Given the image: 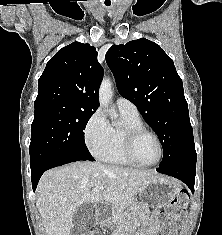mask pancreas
<instances>
[{
    "instance_id": "cf45deb5",
    "label": "pancreas",
    "mask_w": 222,
    "mask_h": 235,
    "mask_svg": "<svg viewBox=\"0 0 222 235\" xmlns=\"http://www.w3.org/2000/svg\"><path fill=\"white\" fill-rule=\"evenodd\" d=\"M134 200H129L125 203L116 204L112 207V221L113 223L118 220L122 216V212L126 209L130 204H132Z\"/></svg>"
}]
</instances>
